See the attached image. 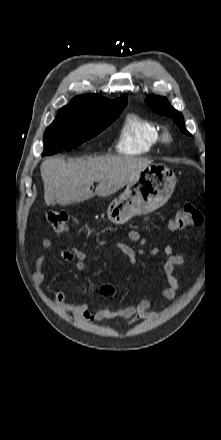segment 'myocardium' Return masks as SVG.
I'll return each mask as SVG.
<instances>
[{"mask_svg":"<svg viewBox=\"0 0 221 440\" xmlns=\"http://www.w3.org/2000/svg\"><path fill=\"white\" fill-rule=\"evenodd\" d=\"M163 141L165 143H171L172 142V137L169 133H163Z\"/></svg>","mask_w":221,"mask_h":440,"instance_id":"obj_1","label":"myocardium"}]
</instances>
